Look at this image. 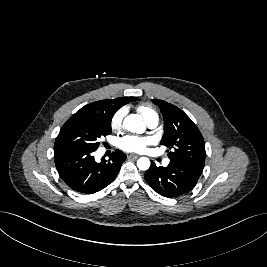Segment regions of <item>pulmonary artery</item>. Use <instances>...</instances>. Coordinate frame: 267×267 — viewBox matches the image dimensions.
Masks as SVG:
<instances>
[{
	"instance_id": "1",
	"label": "pulmonary artery",
	"mask_w": 267,
	"mask_h": 267,
	"mask_svg": "<svg viewBox=\"0 0 267 267\" xmlns=\"http://www.w3.org/2000/svg\"><path fill=\"white\" fill-rule=\"evenodd\" d=\"M147 125L151 129L156 128L157 125H158V117H154V118H151L150 120H148L147 121ZM169 161L170 160L168 158H165L164 161H163L164 165H168Z\"/></svg>"
}]
</instances>
